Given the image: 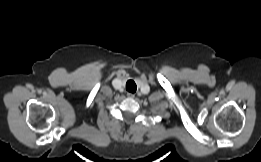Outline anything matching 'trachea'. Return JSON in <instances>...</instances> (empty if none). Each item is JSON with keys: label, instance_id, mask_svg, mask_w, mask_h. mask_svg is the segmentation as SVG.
Wrapping results in <instances>:
<instances>
[{"label": "trachea", "instance_id": "obj_1", "mask_svg": "<svg viewBox=\"0 0 261 162\" xmlns=\"http://www.w3.org/2000/svg\"><path fill=\"white\" fill-rule=\"evenodd\" d=\"M136 89H137V86L135 84V82L133 80H129L127 83H126V90L131 92V93H135L136 92Z\"/></svg>", "mask_w": 261, "mask_h": 162}]
</instances>
